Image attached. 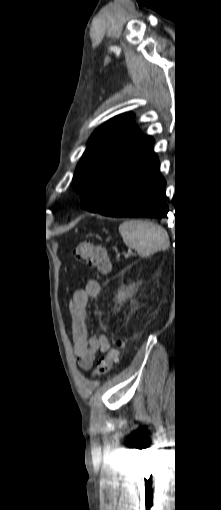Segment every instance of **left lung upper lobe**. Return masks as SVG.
I'll return each instance as SVG.
<instances>
[{"label":"left lung upper lobe","mask_w":221,"mask_h":510,"mask_svg":"<svg viewBox=\"0 0 221 510\" xmlns=\"http://www.w3.org/2000/svg\"><path fill=\"white\" fill-rule=\"evenodd\" d=\"M133 114L118 115L101 125L77 165L72 188L81 204L106 207L156 155L154 140L131 123Z\"/></svg>","instance_id":"5c2ea615"}]
</instances>
